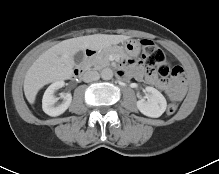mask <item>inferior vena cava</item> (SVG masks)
Returning a JSON list of instances; mask_svg holds the SVG:
<instances>
[{"label": "inferior vena cava", "instance_id": "inferior-vena-cava-1", "mask_svg": "<svg viewBox=\"0 0 219 174\" xmlns=\"http://www.w3.org/2000/svg\"><path fill=\"white\" fill-rule=\"evenodd\" d=\"M100 78V75L97 71L94 70H88L83 75V81L88 83L92 81H96Z\"/></svg>", "mask_w": 219, "mask_h": 174}]
</instances>
